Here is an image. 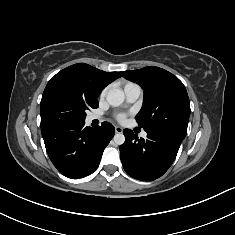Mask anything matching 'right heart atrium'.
Segmentation results:
<instances>
[{"label":"right heart atrium","instance_id":"right-heart-atrium-1","mask_svg":"<svg viewBox=\"0 0 235 235\" xmlns=\"http://www.w3.org/2000/svg\"><path fill=\"white\" fill-rule=\"evenodd\" d=\"M105 93H106V90H103V91L101 92L100 96H101V97H104Z\"/></svg>","mask_w":235,"mask_h":235}]
</instances>
